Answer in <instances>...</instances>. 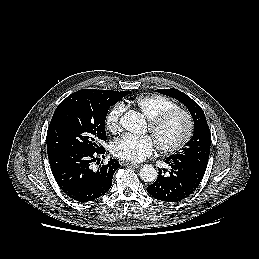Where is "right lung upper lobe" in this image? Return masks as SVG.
Wrapping results in <instances>:
<instances>
[{
	"label": "right lung upper lobe",
	"instance_id": "obj_1",
	"mask_svg": "<svg viewBox=\"0 0 259 259\" xmlns=\"http://www.w3.org/2000/svg\"><path fill=\"white\" fill-rule=\"evenodd\" d=\"M90 90H93L95 92L102 93V94L115 95V96H123L128 92V91L117 92L112 90H94V89H90Z\"/></svg>",
	"mask_w": 259,
	"mask_h": 259
}]
</instances>
